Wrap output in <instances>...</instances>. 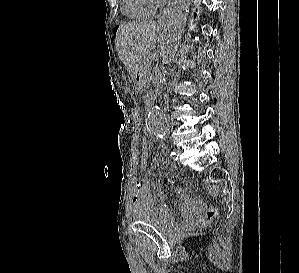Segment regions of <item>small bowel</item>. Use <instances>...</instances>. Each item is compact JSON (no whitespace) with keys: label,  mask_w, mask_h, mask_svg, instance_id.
<instances>
[{"label":"small bowel","mask_w":299,"mask_h":273,"mask_svg":"<svg viewBox=\"0 0 299 273\" xmlns=\"http://www.w3.org/2000/svg\"><path fill=\"white\" fill-rule=\"evenodd\" d=\"M148 158L149 150L142 149L139 164L141 169H144L147 166ZM166 179L168 181H172L174 177L166 175ZM177 193L181 201V216L186 220L195 219L201 212L200 203L183 187L178 188ZM156 199L157 200L155 201L152 196L150 185L147 179H140L137 181L133 198L135 210L137 211L143 208H152L156 210L163 218L171 219L172 214L165 204L166 196L164 188L161 184L156 185Z\"/></svg>","instance_id":"small-bowel-1"}]
</instances>
